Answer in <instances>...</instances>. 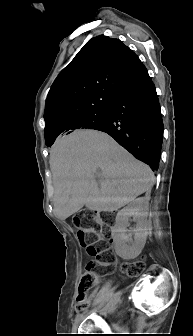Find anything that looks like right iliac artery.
<instances>
[{"label": "right iliac artery", "mask_w": 193, "mask_h": 336, "mask_svg": "<svg viewBox=\"0 0 193 336\" xmlns=\"http://www.w3.org/2000/svg\"><path fill=\"white\" fill-rule=\"evenodd\" d=\"M79 315H81V314H78V315L76 316V318H77Z\"/></svg>", "instance_id": "obj_1"}]
</instances>
